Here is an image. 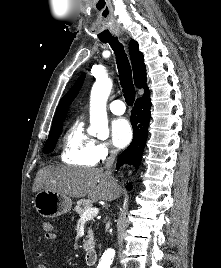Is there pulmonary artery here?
Segmentation results:
<instances>
[{
    "label": "pulmonary artery",
    "mask_w": 221,
    "mask_h": 268,
    "mask_svg": "<svg viewBox=\"0 0 221 268\" xmlns=\"http://www.w3.org/2000/svg\"><path fill=\"white\" fill-rule=\"evenodd\" d=\"M109 109L115 115H122L125 112V104L121 100H114L109 104Z\"/></svg>",
    "instance_id": "pulmonary-artery-1"
}]
</instances>
